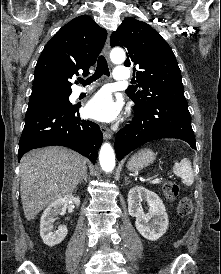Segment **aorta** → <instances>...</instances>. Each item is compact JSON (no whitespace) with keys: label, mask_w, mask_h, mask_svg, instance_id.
Wrapping results in <instances>:
<instances>
[{"label":"aorta","mask_w":221,"mask_h":274,"mask_svg":"<svg viewBox=\"0 0 221 274\" xmlns=\"http://www.w3.org/2000/svg\"><path fill=\"white\" fill-rule=\"evenodd\" d=\"M112 62L120 64L126 59V54L121 48H114L110 53ZM99 161L103 171L111 172L115 167V154L109 143H104L100 149Z\"/></svg>","instance_id":"762f6f07"}]
</instances>
